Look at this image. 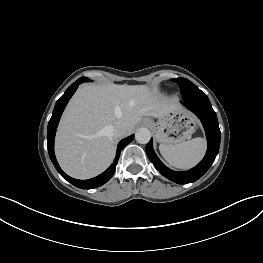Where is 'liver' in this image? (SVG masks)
<instances>
[{
    "label": "liver",
    "mask_w": 263,
    "mask_h": 263,
    "mask_svg": "<svg viewBox=\"0 0 263 263\" xmlns=\"http://www.w3.org/2000/svg\"><path fill=\"white\" fill-rule=\"evenodd\" d=\"M180 108L177 98L145 85L82 86L61 118L55 142L57 160L73 178L95 177L115 156L117 137L111 126L123 122L128 135L143 116L159 119Z\"/></svg>",
    "instance_id": "liver-1"
}]
</instances>
